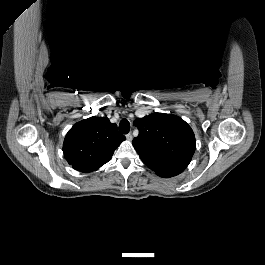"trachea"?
<instances>
[{"instance_id": "1", "label": "trachea", "mask_w": 265, "mask_h": 265, "mask_svg": "<svg viewBox=\"0 0 265 265\" xmlns=\"http://www.w3.org/2000/svg\"><path fill=\"white\" fill-rule=\"evenodd\" d=\"M119 130L122 134H127L130 131V123L127 119H122L120 121Z\"/></svg>"}]
</instances>
